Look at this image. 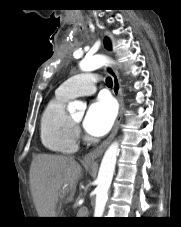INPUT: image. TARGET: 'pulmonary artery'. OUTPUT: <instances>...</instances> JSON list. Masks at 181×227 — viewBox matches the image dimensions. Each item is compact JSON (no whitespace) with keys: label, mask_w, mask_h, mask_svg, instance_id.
I'll return each mask as SVG.
<instances>
[{"label":"pulmonary artery","mask_w":181,"mask_h":227,"mask_svg":"<svg viewBox=\"0 0 181 227\" xmlns=\"http://www.w3.org/2000/svg\"><path fill=\"white\" fill-rule=\"evenodd\" d=\"M96 82L94 74H79L63 82L57 92L68 98L88 96L96 92Z\"/></svg>","instance_id":"1"}]
</instances>
